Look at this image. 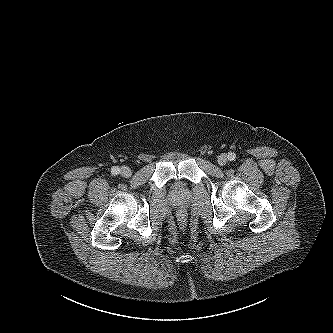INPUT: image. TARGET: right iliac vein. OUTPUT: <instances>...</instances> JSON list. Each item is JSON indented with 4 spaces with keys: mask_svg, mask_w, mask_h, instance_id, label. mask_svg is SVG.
<instances>
[{
    "mask_svg": "<svg viewBox=\"0 0 333 333\" xmlns=\"http://www.w3.org/2000/svg\"><path fill=\"white\" fill-rule=\"evenodd\" d=\"M120 174H121L123 177L128 178V177H130V176L132 175V171H131L130 168L123 166V167H121V169H120Z\"/></svg>",
    "mask_w": 333,
    "mask_h": 333,
    "instance_id": "1",
    "label": "right iliac vein"
}]
</instances>
